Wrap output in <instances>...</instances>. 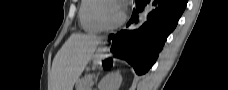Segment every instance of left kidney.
Instances as JSON below:
<instances>
[{
    "mask_svg": "<svg viewBox=\"0 0 228 90\" xmlns=\"http://www.w3.org/2000/svg\"><path fill=\"white\" fill-rule=\"evenodd\" d=\"M122 76L119 72L106 75L98 84L99 90H119Z\"/></svg>",
    "mask_w": 228,
    "mask_h": 90,
    "instance_id": "left-kidney-1",
    "label": "left kidney"
}]
</instances>
